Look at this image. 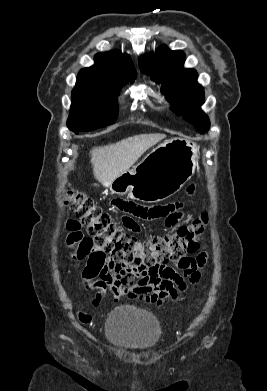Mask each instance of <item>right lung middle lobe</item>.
Returning <instances> with one entry per match:
<instances>
[{
	"mask_svg": "<svg viewBox=\"0 0 267 391\" xmlns=\"http://www.w3.org/2000/svg\"><path fill=\"white\" fill-rule=\"evenodd\" d=\"M118 93H106L99 89L76 84L72 91L68 128L75 134L113 124L118 115Z\"/></svg>",
	"mask_w": 267,
	"mask_h": 391,
	"instance_id": "right-lung-middle-lobe-1",
	"label": "right lung middle lobe"
}]
</instances>
